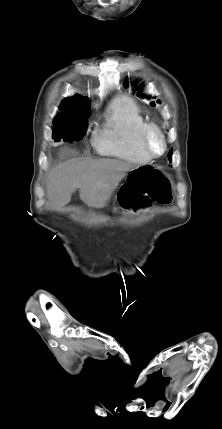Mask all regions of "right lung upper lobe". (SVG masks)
I'll return each instance as SVG.
<instances>
[{
  "label": "right lung upper lobe",
  "instance_id": "obj_1",
  "mask_svg": "<svg viewBox=\"0 0 222 429\" xmlns=\"http://www.w3.org/2000/svg\"><path fill=\"white\" fill-rule=\"evenodd\" d=\"M80 97H82L84 100H86V101H90L87 97H83V96H81V95H79Z\"/></svg>",
  "mask_w": 222,
  "mask_h": 429
}]
</instances>
